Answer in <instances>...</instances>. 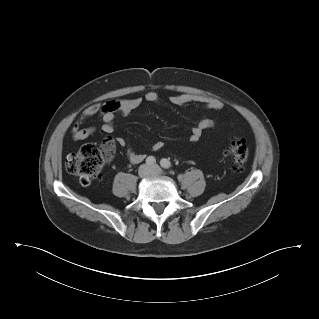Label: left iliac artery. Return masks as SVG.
I'll return each mask as SVG.
<instances>
[{
	"label": "left iliac artery",
	"mask_w": 319,
	"mask_h": 319,
	"mask_svg": "<svg viewBox=\"0 0 319 319\" xmlns=\"http://www.w3.org/2000/svg\"><path fill=\"white\" fill-rule=\"evenodd\" d=\"M160 165L163 167V168H170L171 167V162L167 159H162L160 161Z\"/></svg>",
	"instance_id": "obj_1"
}]
</instances>
